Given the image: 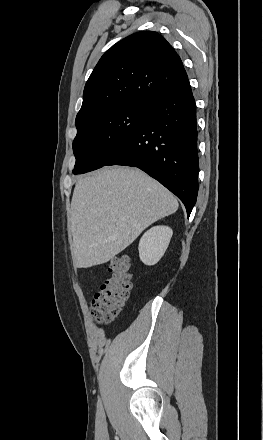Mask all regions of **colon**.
Instances as JSON below:
<instances>
[{
  "label": "colon",
  "instance_id": "obj_1",
  "mask_svg": "<svg viewBox=\"0 0 263 440\" xmlns=\"http://www.w3.org/2000/svg\"><path fill=\"white\" fill-rule=\"evenodd\" d=\"M131 260L122 255L109 262V274L104 277L101 290L95 294L90 311L93 319L107 324L119 315L131 289Z\"/></svg>",
  "mask_w": 263,
  "mask_h": 440
}]
</instances>
